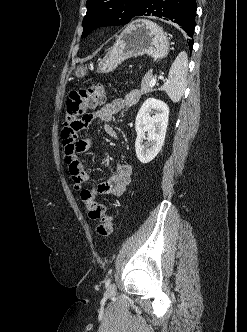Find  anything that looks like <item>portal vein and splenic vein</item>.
Returning a JSON list of instances; mask_svg holds the SVG:
<instances>
[{
    "instance_id": "portal-vein-and-splenic-vein-1",
    "label": "portal vein and splenic vein",
    "mask_w": 247,
    "mask_h": 332,
    "mask_svg": "<svg viewBox=\"0 0 247 332\" xmlns=\"http://www.w3.org/2000/svg\"><path fill=\"white\" fill-rule=\"evenodd\" d=\"M156 81H157L156 78H152L151 81H150V83H149V86H150L151 88L154 87L155 84H156Z\"/></svg>"
}]
</instances>
